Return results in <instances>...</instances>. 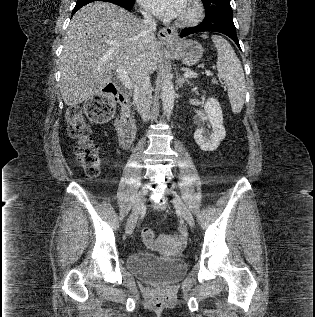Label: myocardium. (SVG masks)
<instances>
[{"instance_id": "obj_1", "label": "myocardium", "mask_w": 315, "mask_h": 317, "mask_svg": "<svg viewBox=\"0 0 315 317\" xmlns=\"http://www.w3.org/2000/svg\"><path fill=\"white\" fill-rule=\"evenodd\" d=\"M189 14L176 20L178 26L187 27L199 23L204 16V7L201 0H187Z\"/></svg>"}]
</instances>
